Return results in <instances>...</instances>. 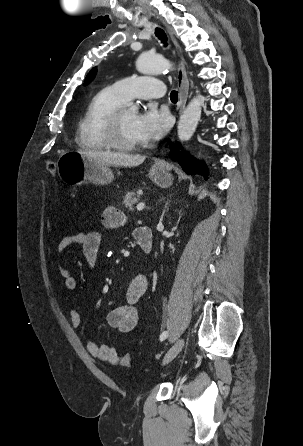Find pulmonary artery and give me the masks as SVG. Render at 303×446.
<instances>
[{"label": "pulmonary artery", "mask_w": 303, "mask_h": 446, "mask_svg": "<svg viewBox=\"0 0 303 446\" xmlns=\"http://www.w3.org/2000/svg\"><path fill=\"white\" fill-rule=\"evenodd\" d=\"M113 87L125 100L133 98L155 99L161 98L165 93L162 81L149 76H132L116 81Z\"/></svg>", "instance_id": "obj_1"}]
</instances>
